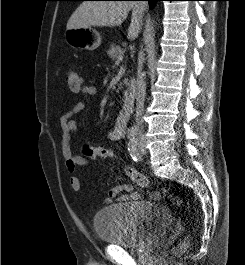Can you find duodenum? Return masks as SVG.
Masks as SVG:
<instances>
[{"label":"duodenum","instance_id":"obj_1","mask_svg":"<svg viewBox=\"0 0 245 265\" xmlns=\"http://www.w3.org/2000/svg\"><path fill=\"white\" fill-rule=\"evenodd\" d=\"M137 96V85L135 81H131L130 85L126 88L123 93L124 102L127 105H133Z\"/></svg>","mask_w":245,"mask_h":265}]
</instances>
